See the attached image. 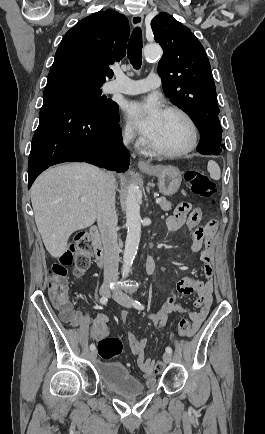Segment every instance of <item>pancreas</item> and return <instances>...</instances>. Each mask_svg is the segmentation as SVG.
I'll use <instances>...</instances> for the list:
<instances>
[{
  "label": "pancreas",
  "instance_id": "1",
  "mask_svg": "<svg viewBox=\"0 0 265 434\" xmlns=\"http://www.w3.org/2000/svg\"><path fill=\"white\" fill-rule=\"evenodd\" d=\"M160 206L161 210H164V212H168V210H172L170 202L166 200V198H160Z\"/></svg>",
  "mask_w": 265,
  "mask_h": 434
}]
</instances>
